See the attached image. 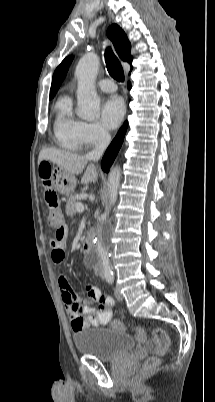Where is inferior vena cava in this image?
I'll return each instance as SVG.
<instances>
[{"label":"inferior vena cava","instance_id":"1","mask_svg":"<svg viewBox=\"0 0 215 402\" xmlns=\"http://www.w3.org/2000/svg\"><path fill=\"white\" fill-rule=\"evenodd\" d=\"M111 140L110 134L106 130H101L98 135L97 144L94 150L87 153L85 156L87 160L98 161Z\"/></svg>","mask_w":215,"mask_h":402}]
</instances>
